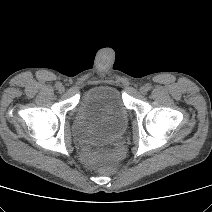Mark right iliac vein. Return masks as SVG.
Here are the masks:
<instances>
[{
	"label": "right iliac vein",
	"instance_id": "right-iliac-vein-1",
	"mask_svg": "<svg viewBox=\"0 0 212 212\" xmlns=\"http://www.w3.org/2000/svg\"><path fill=\"white\" fill-rule=\"evenodd\" d=\"M58 91L60 93H63L65 91L64 87L62 85L59 86Z\"/></svg>",
	"mask_w": 212,
	"mask_h": 212
}]
</instances>
